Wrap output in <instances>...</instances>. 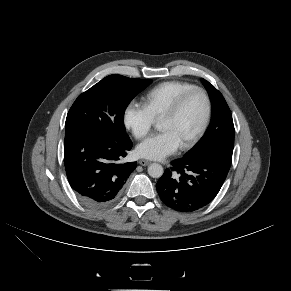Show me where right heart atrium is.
<instances>
[{
  "label": "right heart atrium",
  "mask_w": 291,
  "mask_h": 291,
  "mask_svg": "<svg viewBox=\"0 0 291 291\" xmlns=\"http://www.w3.org/2000/svg\"><path fill=\"white\" fill-rule=\"evenodd\" d=\"M123 123L136 139H142L152 129L154 119L143 105L131 102L124 109Z\"/></svg>",
  "instance_id": "right-heart-atrium-1"
}]
</instances>
